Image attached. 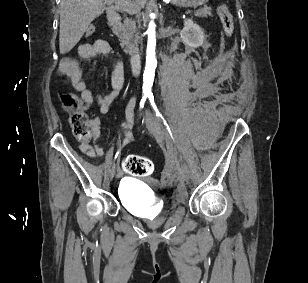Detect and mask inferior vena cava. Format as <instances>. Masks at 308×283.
<instances>
[{
	"label": "inferior vena cava",
	"instance_id": "obj_1",
	"mask_svg": "<svg viewBox=\"0 0 308 283\" xmlns=\"http://www.w3.org/2000/svg\"><path fill=\"white\" fill-rule=\"evenodd\" d=\"M126 11L130 14H135L139 11V7L135 3H130L128 4Z\"/></svg>",
	"mask_w": 308,
	"mask_h": 283
}]
</instances>
